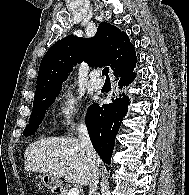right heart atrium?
I'll list each match as a JSON object with an SVG mask.
<instances>
[{"mask_svg": "<svg viewBox=\"0 0 189 195\" xmlns=\"http://www.w3.org/2000/svg\"><path fill=\"white\" fill-rule=\"evenodd\" d=\"M56 104L61 128H71L83 122L82 100L72 89H63Z\"/></svg>", "mask_w": 189, "mask_h": 195, "instance_id": "1", "label": "right heart atrium"}]
</instances>
